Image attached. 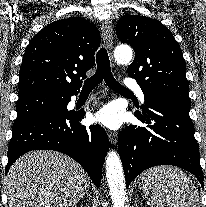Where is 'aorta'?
<instances>
[{"instance_id":"762f6f07","label":"aorta","mask_w":206,"mask_h":207,"mask_svg":"<svg viewBox=\"0 0 206 207\" xmlns=\"http://www.w3.org/2000/svg\"><path fill=\"white\" fill-rule=\"evenodd\" d=\"M118 63L125 64L132 60V50L129 46H118L114 50ZM106 176L111 200L114 207H124L126 199L125 180L122 164L115 151H109L106 157Z\"/></svg>"}]
</instances>
